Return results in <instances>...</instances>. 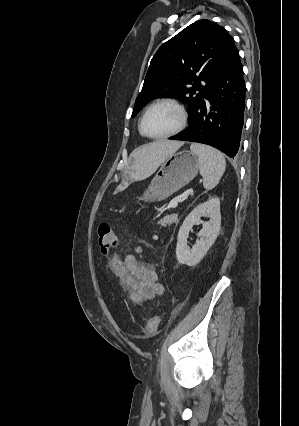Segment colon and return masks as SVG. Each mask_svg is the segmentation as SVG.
<instances>
[{"instance_id":"5ec220e1","label":"colon","mask_w":299,"mask_h":426,"mask_svg":"<svg viewBox=\"0 0 299 426\" xmlns=\"http://www.w3.org/2000/svg\"><path fill=\"white\" fill-rule=\"evenodd\" d=\"M119 244V237L116 229L109 223H102L98 228V245L103 254L109 253ZM159 327V318L152 316L149 318L143 328L147 336H153Z\"/></svg>"}]
</instances>
